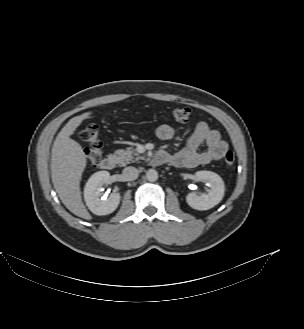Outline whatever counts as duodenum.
Here are the masks:
<instances>
[{
  "instance_id": "obj_1",
  "label": "duodenum",
  "mask_w": 304,
  "mask_h": 329,
  "mask_svg": "<svg viewBox=\"0 0 304 329\" xmlns=\"http://www.w3.org/2000/svg\"><path fill=\"white\" fill-rule=\"evenodd\" d=\"M166 160V155L163 152H159L155 158H154V162L158 163V162H164ZM116 165V158L112 155H108L106 157H104L101 161V168L104 170H112Z\"/></svg>"
}]
</instances>
